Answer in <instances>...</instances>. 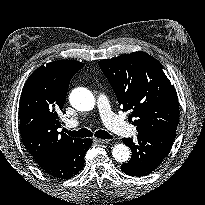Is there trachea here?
<instances>
[{
	"label": "trachea",
	"mask_w": 205,
	"mask_h": 205,
	"mask_svg": "<svg viewBox=\"0 0 205 205\" xmlns=\"http://www.w3.org/2000/svg\"><path fill=\"white\" fill-rule=\"evenodd\" d=\"M65 132L71 137H91L93 136L92 132L87 128H82L78 131H69L65 130ZM94 136L100 139H112V136L104 130H98L95 132Z\"/></svg>",
	"instance_id": "3493384b"
}]
</instances>
